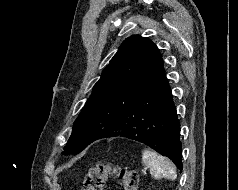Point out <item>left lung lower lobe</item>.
Instances as JSON below:
<instances>
[{
	"mask_svg": "<svg viewBox=\"0 0 238 190\" xmlns=\"http://www.w3.org/2000/svg\"><path fill=\"white\" fill-rule=\"evenodd\" d=\"M118 135L146 144L182 171L180 123L164 70L105 137Z\"/></svg>",
	"mask_w": 238,
	"mask_h": 190,
	"instance_id": "0a47b994",
	"label": "left lung lower lobe"
}]
</instances>
